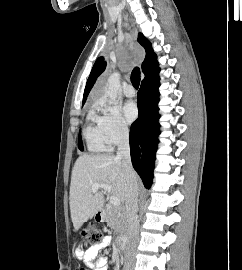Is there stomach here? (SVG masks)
Returning <instances> with one entry per match:
<instances>
[{"label":"stomach","mask_w":242,"mask_h":270,"mask_svg":"<svg viewBox=\"0 0 242 270\" xmlns=\"http://www.w3.org/2000/svg\"><path fill=\"white\" fill-rule=\"evenodd\" d=\"M101 216H104V213H101Z\"/></svg>","instance_id":"0dacf381"}]
</instances>
